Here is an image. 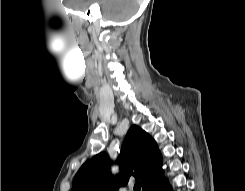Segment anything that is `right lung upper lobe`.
I'll return each mask as SVG.
<instances>
[{
  "label": "right lung upper lobe",
  "mask_w": 245,
  "mask_h": 191,
  "mask_svg": "<svg viewBox=\"0 0 245 191\" xmlns=\"http://www.w3.org/2000/svg\"><path fill=\"white\" fill-rule=\"evenodd\" d=\"M120 175L118 186H126L133 174L140 179L143 190L162 174V157L154 139L133 125L122 144L119 155ZM110 160L99 153L87 160L75 175L71 191H115L114 178L109 174ZM132 170L135 172L132 173Z\"/></svg>",
  "instance_id": "1"
}]
</instances>
